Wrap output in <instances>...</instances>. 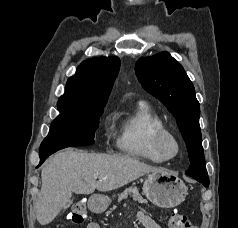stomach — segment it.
Returning a JSON list of instances; mask_svg holds the SVG:
<instances>
[{
  "instance_id": "0dacf381",
  "label": "stomach",
  "mask_w": 238,
  "mask_h": 228,
  "mask_svg": "<svg viewBox=\"0 0 238 228\" xmlns=\"http://www.w3.org/2000/svg\"><path fill=\"white\" fill-rule=\"evenodd\" d=\"M143 193L154 205L161 208H173L183 202L188 194L185 183L174 173L154 172L148 175L143 185ZM111 199L104 195L94 196L89 200L92 211L107 209Z\"/></svg>"
}]
</instances>
